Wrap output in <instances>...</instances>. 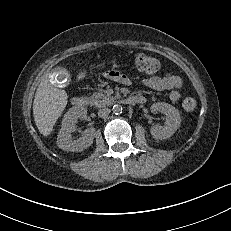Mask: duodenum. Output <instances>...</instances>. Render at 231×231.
Wrapping results in <instances>:
<instances>
[{"instance_id": "duodenum-1", "label": "duodenum", "mask_w": 231, "mask_h": 231, "mask_svg": "<svg viewBox=\"0 0 231 231\" xmlns=\"http://www.w3.org/2000/svg\"><path fill=\"white\" fill-rule=\"evenodd\" d=\"M123 101L126 104H142L145 102V99L141 96H129L125 98ZM86 104H87V100L82 96H75L72 99V105L75 108H83L86 106Z\"/></svg>"}]
</instances>
